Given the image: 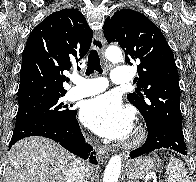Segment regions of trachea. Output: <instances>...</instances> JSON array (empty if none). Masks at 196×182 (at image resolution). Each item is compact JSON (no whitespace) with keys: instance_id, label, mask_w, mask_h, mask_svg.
<instances>
[{"instance_id":"1","label":"trachea","mask_w":196,"mask_h":182,"mask_svg":"<svg viewBox=\"0 0 196 182\" xmlns=\"http://www.w3.org/2000/svg\"><path fill=\"white\" fill-rule=\"evenodd\" d=\"M94 71H97L99 73L103 72L97 51L91 50V52L88 56L86 75H90V74L94 73Z\"/></svg>"}]
</instances>
